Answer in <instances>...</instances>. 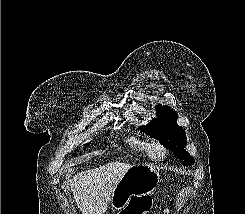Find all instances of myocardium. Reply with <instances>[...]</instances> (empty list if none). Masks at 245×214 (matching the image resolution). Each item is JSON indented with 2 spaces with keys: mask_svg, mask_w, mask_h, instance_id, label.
Segmentation results:
<instances>
[{
  "mask_svg": "<svg viewBox=\"0 0 245 214\" xmlns=\"http://www.w3.org/2000/svg\"><path fill=\"white\" fill-rule=\"evenodd\" d=\"M149 154L153 159H162L166 156L167 150L163 144L160 142L154 141L150 143Z\"/></svg>",
  "mask_w": 245,
  "mask_h": 214,
  "instance_id": "f54148a6",
  "label": "myocardium"
}]
</instances>
